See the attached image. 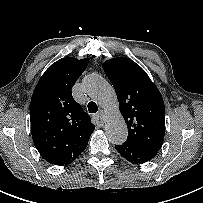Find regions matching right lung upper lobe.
<instances>
[{
	"label": "right lung upper lobe",
	"instance_id": "1",
	"mask_svg": "<svg viewBox=\"0 0 203 203\" xmlns=\"http://www.w3.org/2000/svg\"><path fill=\"white\" fill-rule=\"evenodd\" d=\"M87 65V59L67 57L56 61L42 75L32 94V139L49 163H71L85 150L95 129L71 92Z\"/></svg>",
	"mask_w": 203,
	"mask_h": 203
}]
</instances>
